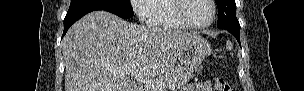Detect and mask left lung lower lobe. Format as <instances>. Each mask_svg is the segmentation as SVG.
<instances>
[{
	"label": "left lung lower lobe",
	"mask_w": 304,
	"mask_h": 91,
	"mask_svg": "<svg viewBox=\"0 0 304 91\" xmlns=\"http://www.w3.org/2000/svg\"><path fill=\"white\" fill-rule=\"evenodd\" d=\"M225 30L230 32L237 39V41L240 44V36H239L240 28L239 29L229 28V29H225Z\"/></svg>",
	"instance_id": "1"
}]
</instances>
